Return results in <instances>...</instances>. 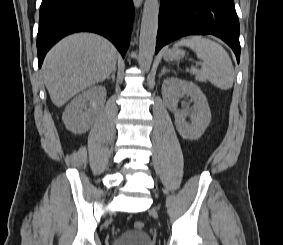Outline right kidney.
I'll return each mask as SVG.
<instances>
[{
    "mask_svg": "<svg viewBox=\"0 0 283 245\" xmlns=\"http://www.w3.org/2000/svg\"><path fill=\"white\" fill-rule=\"evenodd\" d=\"M106 94L105 87L94 86L76 96L62 115L66 128L75 134L88 131L104 106Z\"/></svg>",
    "mask_w": 283,
    "mask_h": 245,
    "instance_id": "right-kidney-1",
    "label": "right kidney"
}]
</instances>
